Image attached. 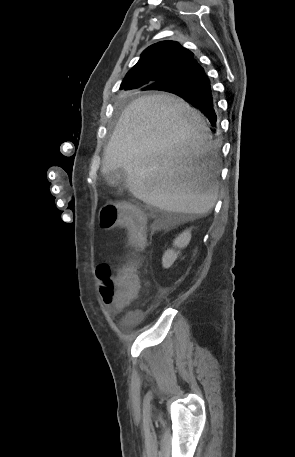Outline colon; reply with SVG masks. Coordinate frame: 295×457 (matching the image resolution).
I'll list each match as a JSON object with an SVG mask.
<instances>
[{
    "mask_svg": "<svg viewBox=\"0 0 295 457\" xmlns=\"http://www.w3.org/2000/svg\"><path fill=\"white\" fill-rule=\"evenodd\" d=\"M100 224L109 229L116 225L125 227L130 234V241L136 250L144 248L146 243V220L143 213L129 203H107L100 211ZM138 263L132 260L118 274L113 275L110 268L100 265L97 276L100 280V292L103 301L121 309L130 304L137 296L140 282L136 274Z\"/></svg>",
    "mask_w": 295,
    "mask_h": 457,
    "instance_id": "1",
    "label": "colon"
}]
</instances>
